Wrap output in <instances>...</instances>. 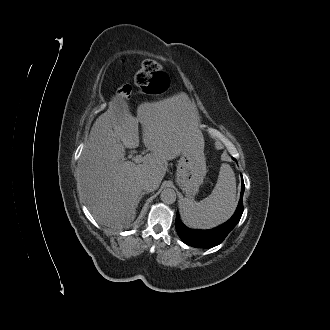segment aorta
Here are the masks:
<instances>
[{
    "mask_svg": "<svg viewBox=\"0 0 330 330\" xmlns=\"http://www.w3.org/2000/svg\"><path fill=\"white\" fill-rule=\"evenodd\" d=\"M160 198L165 204H173L176 201V192L172 188H165L161 192Z\"/></svg>",
    "mask_w": 330,
    "mask_h": 330,
    "instance_id": "1",
    "label": "aorta"
}]
</instances>
